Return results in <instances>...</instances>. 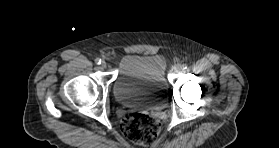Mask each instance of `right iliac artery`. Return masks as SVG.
<instances>
[{
    "instance_id": "right-iliac-artery-1",
    "label": "right iliac artery",
    "mask_w": 279,
    "mask_h": 148,
    "mask_svg": "<svg viewBox=\"0 0 279 148\" xmlns=\"http://www.w3.org/2000/svg\"><path fill=\"white\" fill-rule=\"evenodd\" d=\"M101 62H102V61H101V59H100V58H96V59H95V63H96V64L100 65V64H101Z\"/></svg>"
}]
</instances>
